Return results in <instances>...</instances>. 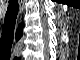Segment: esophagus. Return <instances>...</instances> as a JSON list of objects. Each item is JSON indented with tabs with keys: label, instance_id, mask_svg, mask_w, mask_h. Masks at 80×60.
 <instances>
[{
	"label": "esophagus",
	"instance_id": "obj_1",
	"mask_svg": "<svg viewBox=\"0 0 80 60\" xmlns=\"http://www.w3.org/2000/svg\"><path fill=\"white\" fill-rule=\"evenodd\" d=\"M19 18H18V22L20 21L21 19V13L23 12L24 10V2L23 1H19Z\"/></svg>",
	"mask_w": 80,
	"mask_h": 60
}]
</instances>
